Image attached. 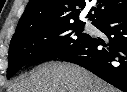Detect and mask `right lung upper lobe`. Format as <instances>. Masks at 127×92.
I'll return each instance as SVG.
<instances>
[{"label":"right lung upper lobe","mask_w":127,"mask_h":92,"mask_svg":"<svg viewBox=\"0 0 127 92\" xmlns=\"http://www.w3.org/2000/svg\"><path fill=\"white\" fill-rule=\"evenodd\" d=\"M91 1L30 0L19 20L12 39L25 34L34 27L61 26L82 22L79 20V14ZM126 9L127 0H97L96 5L90 9L87 18L92 20L93 24L104 17L125 11Z\"/></svg>","instance_id":"cb5924a9"}]
</instances>
